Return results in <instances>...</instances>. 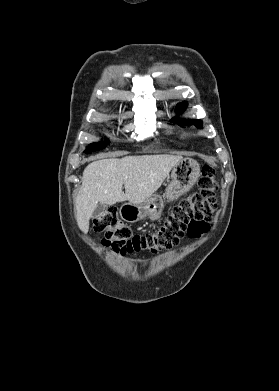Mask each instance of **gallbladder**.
I'll return each mask as SVG.
<instances>
[{"label": "gallbladder", "mask_w": 279, "mask_h": 391, "mask_svg": "<svg viewBox=\"0 0 279 391\" xmlns=\"http://www.w3.org/2000/svg\"><path fill=\"white\" fill-rule=\"evenodd\" d=\"M106 208H107V206L105 204L98 203V205L96 206V208L92 214V217L98 218V217L102 216L105 213Z\"/></svg>", "instance_id": "gallbladder-1"}]
</instances>
